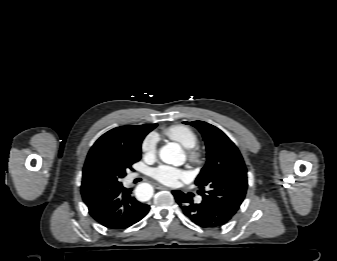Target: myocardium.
<instances>
[{
	"label": "myocardium",
	"mask_w": 337,
	"mask_h": 261,
	"mask_svg": "<svg viewBox=\"0 0 337 261\" xmlns=\"http://www.w3.org/2000/svg\"><path fill=\"white\" fill-rule=\"evenodd\" d=\"M187 156L193 164L200 165L204 162V153L197 146L187 149Z\"/></svg>",
	"instance_id": "myocardium-1"
}]
</instances>
